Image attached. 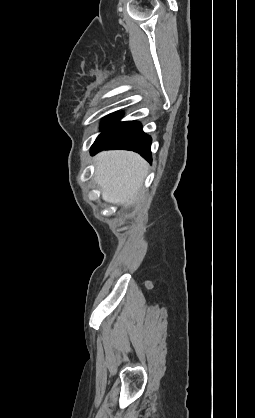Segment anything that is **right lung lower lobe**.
<instances>
[{
	"mask_svg": "<svg viewBox=\"0 0 255 418\" xmlns=\"http://www.w3.org/2000/svg\"><path fill=\"white\" fill-rule=\"evenodd\" d=\"M120 118L121 113L117 112L103 120L102 132L92 145L91 153L109 149L132 150L151 162V137L142 131L139 122H120Z\"/></svg>",
	"mask_w": 255,
	"mask_h": 418,
	"instance_id": "right-lung-lower-lobe-1",
	"label": "right lung lower lobe"
}]
</instances>
